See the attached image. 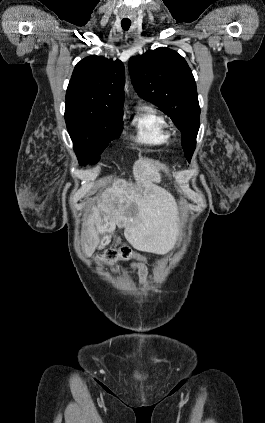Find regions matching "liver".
Returning a JSON list of instances; mask_svg holds the SVG:
<instances>
[{"label":"liver","mask_w":265,"mask_h":423,"mask_svg":"<svg viewBox=\"0 0 265 423\" xmlns=\"http://www.w3.org/2000/svg\"><path fill=\"white\" fill-rule=\"evenodd\" d=\"M161 165L151 159H139L133 166L137 184L144 188L137 193L130 183L116 179L100 195L86 222L82 248L92 256L100 243V235L124 227L126 240L137 250L164 255L171 251L179 235L178 209L175 199L158 187ZM135 206V216L129 210Z\"/></svg>","instance_id":"6515ba94"}]
</instances>
